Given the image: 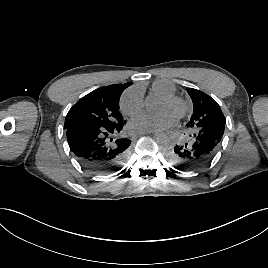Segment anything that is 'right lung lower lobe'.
Returning a JSON list of instances; mask_svg holds the SVG:
<instances>
[{
  "instance_id": "98d812e1",
  "label": "right lung lower lobe",
  "mask_w": 268,
  "mask_h": 268,
  "mask_svg": "<svg viewBox=\"0 0 268 268\" xmlns=\"http://www.w3.org/2000/svg\"><path fill=\"white\" fill-rule=\"evenodd\" d=\"M126 121L109 127L74 124L67 128L71 151L86 169L99 174L118 171L128 152L131 140L122 137Z\"/></svg>"
}]
</instances>
